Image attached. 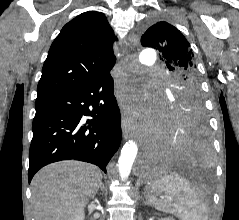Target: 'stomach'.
Returning <instances> with one entry per match:
<instances>
[{
    "label": "stomach",
    "mask_w": 239,
    "mask_h": 220,
    "mask_svg": "<svg viewBox=\"0 0 239 220\" xmlns=\"http://www.w3.org/2000/svg\"><path fill=\"white\" fill-rule=\"evenodd\" d=\"M149 191H150V193L156 194V195L162 193L161 190H159V189H154V188H150Z\"/></svg>",
    "instance_id": "obj_1"
}]
</instances>
